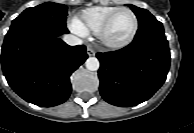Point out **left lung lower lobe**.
Segmentation results:
<instances>
[{
  "label": "left lung lower lobe",
  "instance_id": "1",
  "mask_svg": "<svg viewBox=\"0 0 194 133\" xmlns=\"http://www.w3.org/2000/svg\"><path fill=\"white\" fill-rule=\"evenodd\" d=\"M100 93L112 105L130 107L148 100L164 83L170 51L158 20L139 26L123 49L97 53Z\"/></svg>",
  "mask_w": 194,
  "mask_h": 133
}]
</instances>
